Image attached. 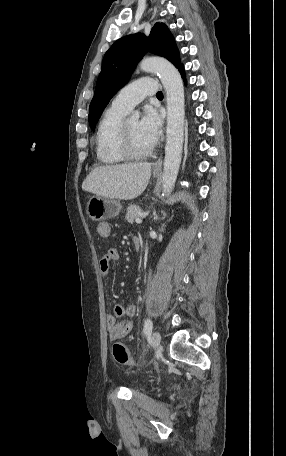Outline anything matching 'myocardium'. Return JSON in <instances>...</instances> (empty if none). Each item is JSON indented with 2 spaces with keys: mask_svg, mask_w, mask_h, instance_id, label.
<instances>
[{
  "mask_svg": "<svg viewBox=\"0 0 286 456\" xmlns=\"http://www.w3.org/2000/svg\"><path fill=\"white\" fill-rule=\"evenodd\" d=\"M119 143L122 154L126 159L140 160L148 157L154 150L155 144L153 143L146 151L137 153L133 150L127 122H123L120 128Z\"/></svg>",
  "mask_w": 286,
  "mask_h": 456,
  "instance_id": "obj_1",
  "label": "myocardium"
}]
</instances>
